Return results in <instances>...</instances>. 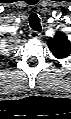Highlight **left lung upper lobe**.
<instances>
[{"label":"left lung upper lobe","instance_id":"obj_1","mask_svg":"<svg viewBox=\"0 0 71 119\" xmlns=\"http://www.w3.org/2000/svg\"><path fill=\"white\" fill-rule=\"evenodd\" d=\"M48 47L57 59L66 58L71 54V42L61 31H57L53 38L48 39Z\"/></svg>","mask_w":71,"mask_h":119}]
</instances>
